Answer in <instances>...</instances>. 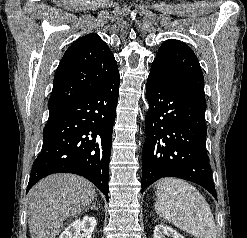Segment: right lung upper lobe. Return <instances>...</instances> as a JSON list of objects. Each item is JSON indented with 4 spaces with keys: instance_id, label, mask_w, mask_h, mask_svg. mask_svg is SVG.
I'll return each instance as SVG.
<instances>
[{
    "instance_id": "cb5924a9",
    "label": "right lung upper lobe",
    "mask_w": 247,
    "mask_h": 238,
    "mask_svg": "<svg viewBox=\"0 0 247 238\" xmlns=\"http://www.w3.org/2000/svg\"><path fill=\"white\" fill-rule=\"evenodd\" d=\"M118 74L115 58L97 35L77 39L56 70L48 102L49 115L85 97Z\"/></svg>"
}]
</instances>
